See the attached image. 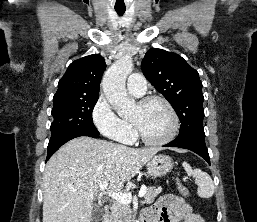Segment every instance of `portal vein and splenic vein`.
<instances>
[{
    "mask_svg": "<svg viewBox=\"0 0 257 222\" xmlns=\"http://www.w3.org/2000/svg\"><path fill=\"white\" fill-rule=\"evenodd\" d=\"M108 187V181H104L100 185V190L105 191ZM146 194V187L143 185L138 193L139 197H143ZM108 197L111 199L123 203V204H129L132 201V195L130 193H121V192H109L107 193Z\"/></svg>",
    "mask_w": 257,
    "mask_h": 222,
    "instance_id": "18ae733b",
    "label": "portal vein and splenic vein"
}]
</instances>
